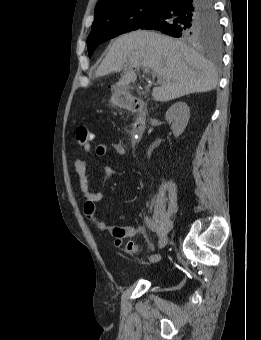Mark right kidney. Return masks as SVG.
Segmentation results:
<instances>
[{
	"label": "right kidney",
	"instance_id": "ca27d5eb",
	"mask_svg": "<svg viewBox=\"0 0 261 340\" xmlns=\"http://www.w3.org/2000/svg\"><path fill=\"white\" fill-rule=\"evenodd\" d=\"M165 118L171 124L175 137H179L188 124L190 109L185 102H176L167 110Z\"/></svg>",
	"mask_w": 261,
	"mask_h": 340
}]
</instances>
